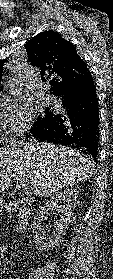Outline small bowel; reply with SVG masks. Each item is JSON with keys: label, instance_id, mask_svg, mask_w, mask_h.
Returning a JSON list of instances; mask_svg holds the SVG:
<instances>
[{"label": "small bowel", "instance_id": "c3829d8e", "mask_svg": "<svg viewBox=\"0 0 113 279\" xmlns=\"http://www.w3.org/2000/svg\"><path fill=\"white\" fill-rule=\"evenodd\" d=\"M2 273H3V271H1V272H0V279H1V277H2V276H1V275H2Z\"/></svg>", "mask_w": 113, "mask_h": 279}]
</instances>
